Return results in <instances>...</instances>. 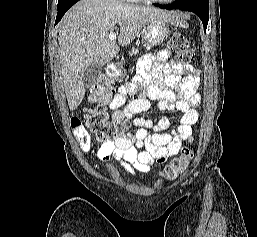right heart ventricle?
Segmentation results:
<instances>
[{
	"label": "right heart ventricle",
	"mask_w": 257,
	"mask_h": 237,
	"mask_svg": "<svg viewBox=\"0 0 257 237\" xmlns=\"http://www.w3.org/2000/svg\"><path fill=\"white\" fill-rule=\"evenodd\" d=\"M125 1H138V0H125Z\"/></svg>",
	"instance_id": "right-heart-ventricle-1"
}]
</instances>
